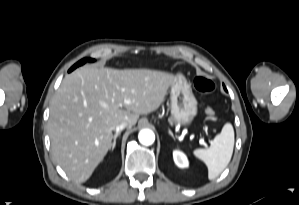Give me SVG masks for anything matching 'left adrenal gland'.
<instances>
[{"label": "left adrenal gland", "instance_id": "left-adrenal-gland-1", "mask_svg": "<svg viewBox=\"0 0 299 205\" xmlns=\"http://www.w3.org/2000/svg\"><path fill=\"white\" fill-rule=\"evenodd\" d=\"M169 134L173 137V139H175V137L171 131H169Z\"/></svg>", "mask_w": 299, "mask_h": 205}]
</instances>
